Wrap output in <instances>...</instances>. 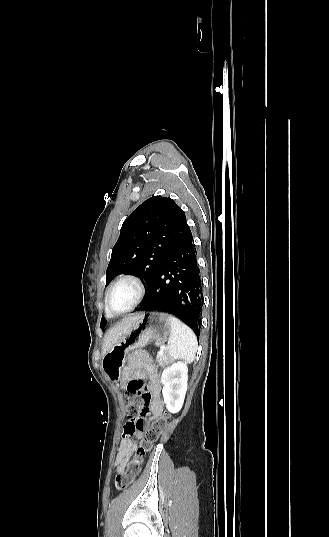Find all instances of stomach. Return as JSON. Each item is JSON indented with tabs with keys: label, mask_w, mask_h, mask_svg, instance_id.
<instances>
[{
	"label": "stomach",
	"mask_w": 329,
	"mask_h": 537,
	"mask_svg": "<svg viewBox=\"0 0 329 537\" xmlns=\"http://www.w3.org/2000/svg\"><path fill=\"white\" fill-rule=\"evenodd\" d=\"M170 316L160 312L141 313L135 324L103 356L102 368L109 379L117 381L126 354L150 342L163 344L170 336Z\"/></svg>",
	"instance_id": "1"
}]
</instances>
